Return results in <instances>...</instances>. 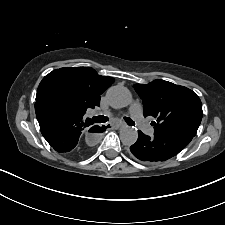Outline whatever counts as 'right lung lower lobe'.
Segmentation results:
<instances>
[{
	"mask_svg": "<svg viewBox=\"0 0 225 225\" xmlns=\"http://www.w3.org/2000/svg\"><path fill=\"white\" fill-rule=\"evenodd\" d=\"M35 112L46 141L57 152L72 157H82L87 153L79 142L85 131L95 133L106 130L105 126H92L89 118L44 103H35Z\"/></svg>",
	"mask_w": 225,
	"mask_h": 225,
	"instance_id": "right-lung-lower-lobe-1",
	"label": "right lung lower lobe"
}]
</instances>
